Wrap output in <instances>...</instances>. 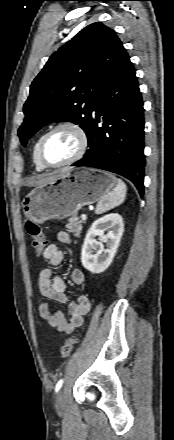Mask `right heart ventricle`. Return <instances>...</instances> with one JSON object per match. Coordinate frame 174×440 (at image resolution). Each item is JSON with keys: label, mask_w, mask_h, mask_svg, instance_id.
Segmentation results:
<instances>
[{"label": "right heart ventricle", "mask_w": 174, "mask_h": 440, "mask_svg": "<svg viewBox=\"0 0 174 440\" xmlns=\"http://www.w3.org/2000/svg\"><path fill=\"white\" fill-rule=\"evenodd\" d=\"M41 137L42 135L37 137L32 147V161L37 171H43L45 169L38 159V146Z\"/></svg>", "instance_id": "right-heart-ventricle-1"}]
</instances>
